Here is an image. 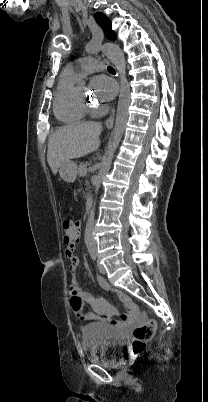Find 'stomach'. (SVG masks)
<instances>
[{
  "instance_id": "1",
  "label": "stomach",
  "mask_w": 208,
  "mask_h": 402,
  "mask_svg": "<svg viewBox=\"0 0 208 402\" xmlns=\"http://www.w3.org/2000/svg\"><path fill=\"white\" fill-rule=\"evenodd\" d=\"M58 172L60 174V178L64 180V182H75L77 178V166L75 162L72 160H68L65 164H61L60 168H58Z\"/></svg>"
}]
</instances>
